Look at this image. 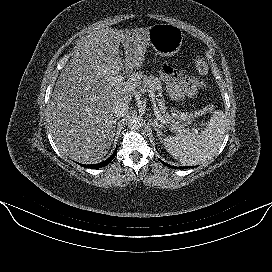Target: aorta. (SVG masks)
Wrapping results in <instances>:
<instances>
[{
	"instance_id": "aorta-1",
	"label": "aorta",
	"mask_w": 272,
	"mask_h": 272,
	"mask_svg": "<svg viewBox=\"0 0 272 272\" xmlns=\"http://www.w3.org/2000/svg\"><path fill=\"white\" fill-rule=\"evenodd\" d=\"M143 126V119L139 115H133L128 120V127L137 130Z\"/></svg>"
}]
</instances>
